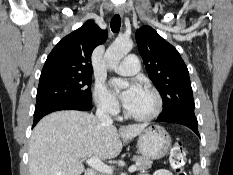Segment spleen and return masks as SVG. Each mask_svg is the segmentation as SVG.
<instances>
[{
  "label": "spleen",
  "mask_w": 233,
  "mask_h": 175,
  "mask_svg": "<svg viewBox=\"0 0 233 175\" xmlns=\"http://www.w3.org/2000/svg\"><path fill=\"white\" fill-rule=\"evenodd\" d=\"M199 173H200V166H199V164H195L193 166V174L194 175H199Z\"/></svg>",
  "instance_id": "1"
}]
</instances>
